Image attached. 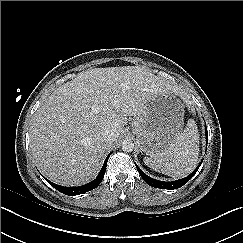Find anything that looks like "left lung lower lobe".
<instances>
[{"label": "left lung lower lobe", "mask_w": 243, "mask_h": 243, "mask_svg": "<svg viewBox=\"0 0 243 243\" xmlns=\"http://www.w3.org/2000/svg\"><path fill=\"white\" fill-rule=\"evenodd\" d=\"M205 136H206V140L208 141V132H207V128L205 127ZM203 159L201 160V162L199 163V166L187 177L176 180V181H172V182H164V181H158L156 179H153L151 177H149L148 175H146L136 164V168L139 172V174L141 175L142 179L150 186H153L155 188H160V189H177L182 187L184 184H186L193 176L194 174L197 172V170L199 169L200 165L202 164Z\"/></svg>", "instance_id": "1"}]
</instances>
